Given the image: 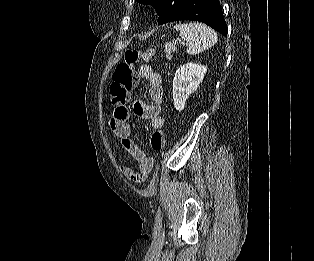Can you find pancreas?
Listing matches in <instances>:
<instances>
[{
	"label": "pancreas",
	"instance_id": "obj_1",
	"mask_svg": "<svg viewBox=\"0 0 314 261\" xmlns=\"http://www.w3.org/2000/svg\"><path fill=\"white\" fill-rule=\"evenodd\" d=\"M166 52V58L167 59H171V53L175 52L176 51V47L171 43V42H167L165 44V50Z\"/></svg>",
	"mask_w": 314,
	"mask_h": 261
}]
</instances>
